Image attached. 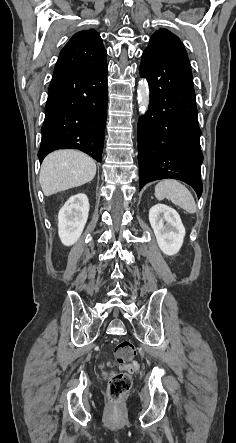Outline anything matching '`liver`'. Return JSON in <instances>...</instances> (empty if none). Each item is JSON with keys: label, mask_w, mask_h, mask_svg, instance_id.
I'll use <instances>...</instances> for the list:
<instances>
[{"label": "liver", "mask_w": 236, "mask_h": 443, "mask_svg": "<svg viewBox=\"0 0 236 443\" xmlns=\"http://www.w3.org/2000/svg\"><path fill=\"white\" fill-rule=\"evenodd\" d=\"M96 174L95 161L76 150H58L42 162L39 182L46 196L90 182Z\"/></svg>", "instance_id": "liver-1"}]
</instances>
